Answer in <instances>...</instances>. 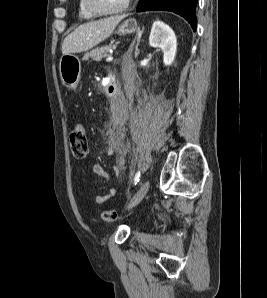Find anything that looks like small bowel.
<instances>
[{"label":"small bowel","instance_id":"small-bowel-1","mask_svg":"<svg viewBox=\"0 0 267 298\" xmlns=\"http://www.w3.org/2000/svg\"><path fill=\"white\" fill-rule=\"evenodd\" d=\"M91 170H92V173L98 175L99 177H102V178L108 177L107 172L100 164H93ZM116 193H117V189L111 188L107 194L97 195L95 201L97 204L101 205L106 201H108L110 198L114 197Z\"/></svg>","mask_w":267,"mask_h":298}]
</instances>
